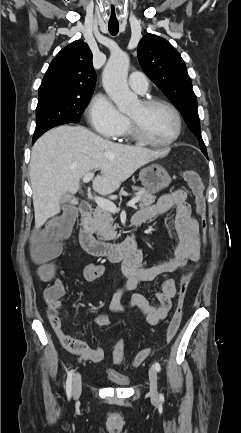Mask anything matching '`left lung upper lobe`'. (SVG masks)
I'll return each instance as SVG.
<instances>
[{
    "label": "left lung upper lobe",
    "instance_id": "obj_1",
    "mask_svg": "<svg viewBox=\"0 0 241 433\" xmlns=\"http://www.w3.org/2000/svg\"><path fill=\"white\" fill-rule=\"evenodd\" d=\"M138 58L145 74L180 109L190 131L207 153L200 130L197 99L185 63L164 38L146 34L138 44Z\"/></svg>",
    "mask_w": 241,
    "mask_h": 433
}]
</instances>
